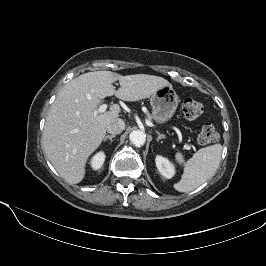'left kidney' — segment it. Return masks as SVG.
Wrapping results in <instances>:
<instances>
[{"label":"left kidney","mask_w":266,"mask_h":266,"mask_svg":"<svg viewBox=\"0 0 266 266\" xmlns=\"http://www.w3.org/2000/svg\"><path fill=\"white\" fill-rule=\"evenodd\" d=\"M156 167L159 170L160 174L165 178H172L175 174L174 165L170 161L162 156H156L155 158Z\"/></svg>","instance_id":"left-kidney-1"}]
</instances>
